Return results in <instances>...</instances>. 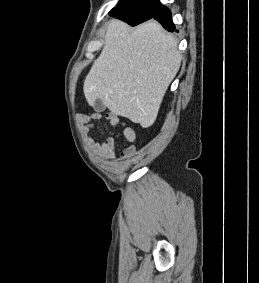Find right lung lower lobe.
I'll return each instance as SVG.
<instances>
[{"instance_id":"obj_1","label":"right lung lower lobe","mask_w":259,"mask_h":283,"mask_svg":"<svg viewBox=\"0 0 259 283\" xmlns=\"http://www.w3.org/2000/svg\"><path fill=\"white\" fill-rule=\"evenodd\" d=\"M109 15L136 26L149 19H156L168 31H175L171 12L159 0H120Z\"/></svg>"}]
</instances>
